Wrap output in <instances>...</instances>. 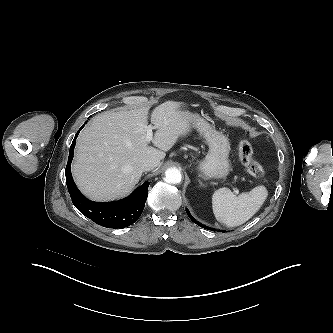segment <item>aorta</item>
Masks as SVG:
<instances>
[{
  "mask_svg": "<svg viewBox=\"0 0 333 333\" xmlns=\"http://www.w3.org/2000/svg\"><path fill=\"white\" fill-rule=\"evenodd\" d=\"M164 180L167 183L178 184L182 180L181 172L177 168H169L165 171Z\"/></svg>",
  "mask_w": 333,
  "mask_h": 333,
  "instance_id": "762f6f07",
  "label": "aorta"
}]
</instances>
